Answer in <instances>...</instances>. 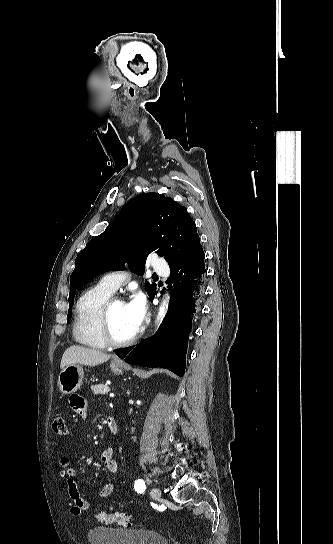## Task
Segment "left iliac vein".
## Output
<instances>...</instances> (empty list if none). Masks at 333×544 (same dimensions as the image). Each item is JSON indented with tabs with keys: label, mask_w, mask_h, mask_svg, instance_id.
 I'll use <instances>...</instances> for the list:
<instances>
[{
	"label": "left iliac vein",
	"mask_w": 333,
	"mask_h": 544,
	"mask_svg": "<svg viewBox=\"0 0 333 544\" xmlns=\"http://www.w3.org/2000/svg\"><path fill=\"white\" fill-rule=\"evenodd\" d=\"M150 495L153 499H158L161 496L160 490L158 488H152Z\"/></svg>",
	"instance_id": "left-iliac-vein-1"
}]
</instances>
